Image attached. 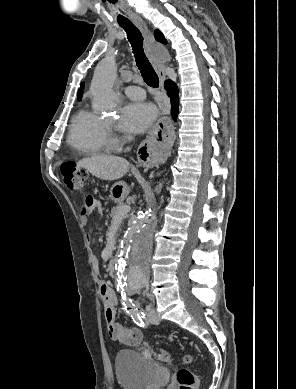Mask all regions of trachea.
I'll return each mask as SVG.
<instances>
[{
    "label": "trachea",
    "instance_id": "trachea-1",
    "mask_svg": "<svg viewBox=\"0 0 296 389\" xmlns=\"http://www.w3.org/2000/svg\"><path fill=\"white\" fill-rule=\"evenodd\" d=\"M120 27L127 33V38L133 49L136 65L138 66L144 81L150 87H159L158 75L143 51V37L140 30L130 21L120 24Z\"/></svg>",
    "mask_w": 296,
    "mask_h": 389
}]
</instances>
